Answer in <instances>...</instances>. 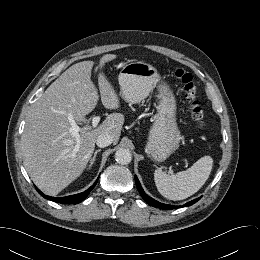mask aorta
<instances>
[{"label": "aorta", "mask_w": 260, "mask_h": 260, "mask_svg": "<svg viewBox=\"0 0 260 260\" xmlns=\"http://www.w3.org/2000/svg\"><path fill=\"white\" fill-rule=\"evenodd\" d=\"M115 159L118 164L127 165L132 160V154L129 149L120 148L115 153Z\"/></svg>", "instance_id": "1"}]
</instances>
